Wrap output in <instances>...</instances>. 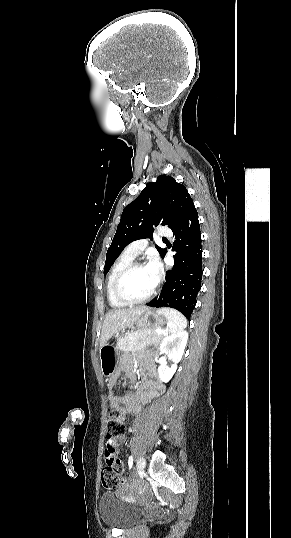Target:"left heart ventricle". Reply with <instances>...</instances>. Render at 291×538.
I'll return each instance as SVG.
<instances>
[{
    "instance_id": "1",
    "label": "left heart ventricle",
    "mask_w": 291,
    "mask_h": 538,
    "mask_svg": "<svg viewBox=\"0 0 291 538\" xmlns=\"http://www.w3.org/2000/svg\"><path fill=\"white\" fill-rule=\"evenodd\" d=\"M156 281L146 267L133 271L124 281L123 290L131 298H141L147 295Z\"/></svg>"
}]
</instances>
